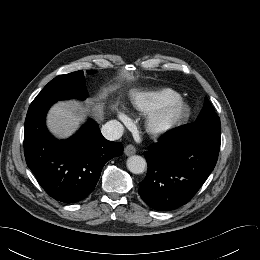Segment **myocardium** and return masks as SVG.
<instances>
[{
    "label": "myocardium",
    "mask_w": 260,
    "mask_h": 260,
    "mask_svg": "<svg viewBox=\"0 0 260 260\" xmlns=\"http://www.w3.org/2000/svg\"><path fill=\"white\" fill-rule=\"evenodd\" d=\"M187 111L186 101L177 96L149 111L145 116L144 128L151 136H163L182 123Z\"/></svg>",
    "instance_id": "1"
}]
</instances>
